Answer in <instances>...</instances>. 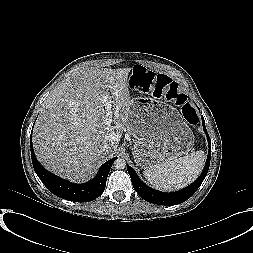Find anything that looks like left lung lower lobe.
<instances>
[{
    "label": "left lung lower lobe",
    "mask_w": 253,
    "mask_h": 253,
    "mask_svg": "<svg viewBox=\"0 0 253 253\" xmlns=\"http://www.w3.org/2000/svg\"><path fill=\"white\" fill-rule=\"evenodd\" d=\"M202 123H203V129L207 135V139L209 142V152H208V157L206 160L205 167H204L203 172L201 173L200 177L194 183H192L190 186H188L180 191L172 192V193H164V192H160V191L151 189L150 187L145 185L140 180V178L137 176L135 170L133 168H131L129 165H127V170H128V173L131 177L133 187L141 198H143L144 200H146L148 202L154 203V204L176 205V204H180V203L186 201L196 192V190L200 187L204 178L207 175V172L209 169V164H210V158H211V141H210L209 135H208L206 127H205V121H204L203 116H202Z\"/></svg>",
    "instance_id": "0a47b994"
}]
</instances>
